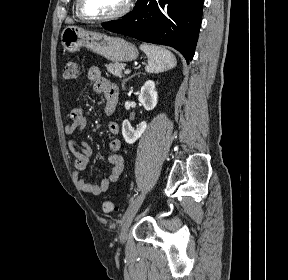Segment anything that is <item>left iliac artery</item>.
Segmentation results:
<instances>
[{
  "label": "left iliac artery",
  "mask_w": 288,
  "mask_h": 280,
  "mask_svg": "<svg viewBox=\"0 0 288 280\" xmlns=\"http://www.w3.org/2000/svg\"><path fill=\"white\" fill-rule=\"evenodd\" d=\"M139 192L135 191L134 193H131V196H129V202L128 205L125 207V213L127 214L129 211V208L132 206L131 204L136 203V198H138Z\"/></svg>",
  "instance_id": "1"
}]
</instances>
